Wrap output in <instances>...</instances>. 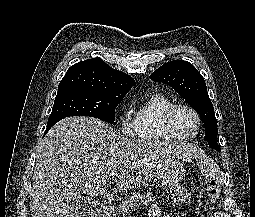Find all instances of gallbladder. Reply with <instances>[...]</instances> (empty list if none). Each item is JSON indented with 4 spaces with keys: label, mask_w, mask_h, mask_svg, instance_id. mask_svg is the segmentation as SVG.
Instances as JSON below:
<instances>
[{
    "label": "gallbladder",
    "mask_w": 255,
    "mask_h": 217,
    "mask_svg": "<svg viewBox=\"0 0 255 217\" xmlns=\"http://www.w3.org/2000/svg\"><path fill=\"white\" fill-rule=\"evenodd\" d=\"M98 202L91 197H84L77 217L92 215Z\"/></svg>",
    "instance_id": "obj_1"
}]
</instances>
